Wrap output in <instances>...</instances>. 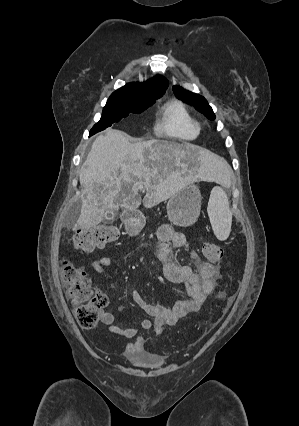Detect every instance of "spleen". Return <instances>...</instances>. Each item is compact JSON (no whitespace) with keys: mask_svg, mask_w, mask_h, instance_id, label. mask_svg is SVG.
Wrapping results in <instances>:
<instances>
[{"mask_svg":"<svg viewBox=\"0 0 299 426\" xmlns=\"http://www.w3.org/2000/svg\"><path fill=\"white\" fill-rule=\"evenodd\" d=\"M207 212L217 239L226 240L231 231L232 214L228 197L222 187L216 186L212 189Z\"/></svg>","mask_w":299,"mask_h":426,"instance_id":"obj_1","label":"spleen"}]
</instances>
